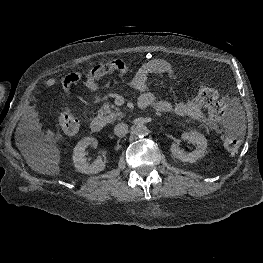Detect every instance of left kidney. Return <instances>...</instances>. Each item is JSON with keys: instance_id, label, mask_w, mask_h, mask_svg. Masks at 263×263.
I'll return each mask as SVG.
<instances>
[{"instance_id": "5707ae66", "label": "left kidney", "mask_w": 263, "mask_h": 263, "mask_svg": "<svg viewBox=\"0 0 263 263\" xmlns=\"http://www.w3.org/2000/svg\"><path fill=\"white\" fill-rule=\"evenodd\" d=\"M181 139L196 144V149L191 153H186L179 148L176 142H173L171 145V152L175 158L182 162L195 163L199 158L205 155L207 140L203 134L195 131L185 132L181 135Z\"/></svg>"}]
</instances>
